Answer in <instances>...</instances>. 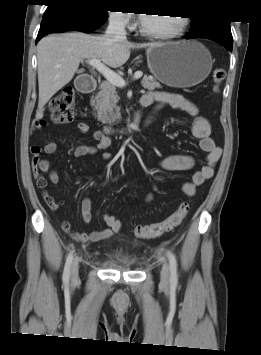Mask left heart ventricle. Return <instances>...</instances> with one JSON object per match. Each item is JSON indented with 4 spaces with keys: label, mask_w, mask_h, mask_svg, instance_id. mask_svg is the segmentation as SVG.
Listing matches in <instances>:
<instances>
[{
    "label": "left heart ventricle",
    "mask_w": 261,
    "mask_h": 355,
    "mask_svg": "<svg viewBox=\"0 0 261 355\" xmlns=\"http://www.w3.org/2000/svg\"><path fill=\"white\" fill-rule=\"evenodd\" d=\"M145 29L158 33H170L179 27V18L175 16H164L147 14L142 18Z\"/></svg>",
    "instance_id": "b2bd125f"
}]
</instances>
